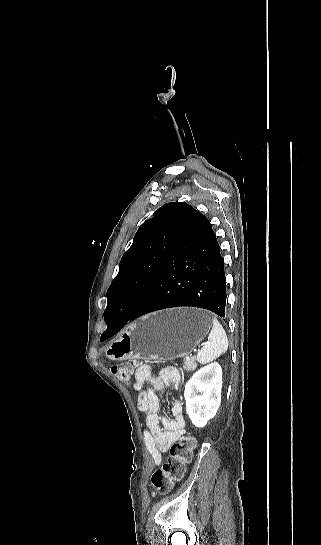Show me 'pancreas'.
I'll return each mask as SVG.
<instances>
[{
  "mask_svg": "<svg viewBox=\"0 0 321 545\" xmlns=\"http://www.w3.org/2000/svg\"><path fill=\"white\" fill-rule=\"evenodd\" d=\"M197 367L196 359L192 357V359H186V361H183V369L185 371H195Z\"/></svg>",
  "mask_w": 321,
  "mask_h": 545,
  "instance_id": "obj_1",
  "label": "pancreas"
}]
</instances>
